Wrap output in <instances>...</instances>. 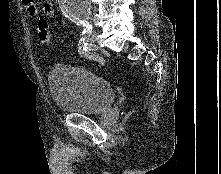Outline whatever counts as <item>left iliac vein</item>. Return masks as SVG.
Returning a JSON list of instances; mask_svg holds the SVG:
<instances>
[{
    "label": "left iliac vein",
    "mask_w": 221,
    "mask_h": 174,
    "mask_svg": "<svg viewBox=\"0 0 221 174\" xmlns=\"http://www.w3.org/2000/svg\"><path fill=\"white\" fill-rule=\"evenodd\" d=\"M98 33L96 31H92L87 35V42L90 44H95L97 41Z\"/></svg>",
    "instance_id": "1"
}]
</instances>
